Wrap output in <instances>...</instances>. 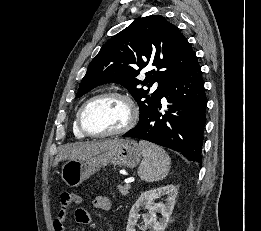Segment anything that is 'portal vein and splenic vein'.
<instances>
[{
    "instance_id": "portal-vein-and-splenic-vein-1",
    "label": "portal vein and splenic vein",
    "mask_w": 261,
    "mask_h": 231,
    "mask_svg": "<svg viewBox=\"0 0 261 231\" xmlns=\"http://www.w3.org/2000/svg\"><path fill=\"white\" fill-rule=\"evenodd\" d=\"M125 182H126V185L130 186V183L133 182V180L132 179H128V180H125Z\"/></svg>"
}]
</instances>
